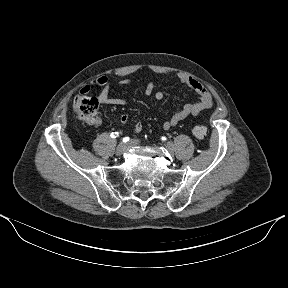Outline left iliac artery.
<instances>
[{
	"mask_svg": "<svg viewBox=\"0 0 288 288\" xmlns=\"http://www.w3.org/2000/svg\"><path fill=\"white\" fill-rule=\"evenodd\" d=\"M162 141L164 143H167L169 141V138L167 136L162 137Z\"/></svg>",
	"mask_w": 288,
	"mask_h": 288,
	"instance_id": "1",
	"label": "left iliac artery"
}]
</instances>
